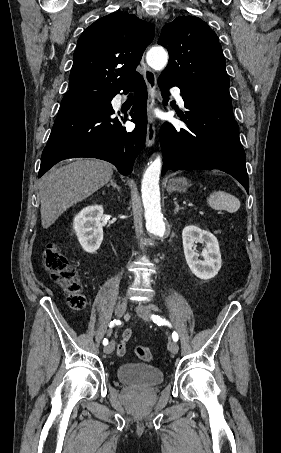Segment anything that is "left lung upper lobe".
Here are the masks:
<instances>
[{
    "instance_id": "left-lung-upper-lobe-1",
    "label": "left lung upper lobe",
    "mask_w": 281,
    "mask_h": 453,
    "mask_svg": "<svg viewBox=\"0 0 281 453\" xmlns=\"http://www.w3.org/2000/svg\"><path fill=\"white\" fill-rule=\"evenodd\" d=\"M158 44L170 57L160 77L172 80L182 94L230 96L222 48L206 22L179 16L162 28Z\"/></svg>"
}]
</instances>
